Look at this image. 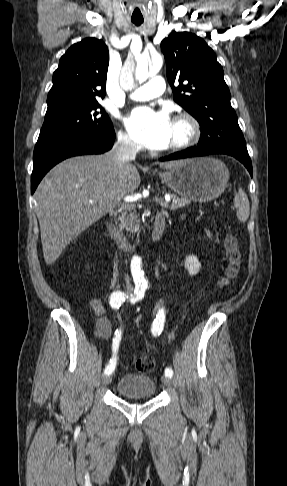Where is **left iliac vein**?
<instances>
[{
  "label": "left iliac vein",
  "mask_w": 287,
  "mask_h": 486,
  "mask_svg": "<svg viewBox=\"0 0 287 486\" xmlns=\"http://www.w3.org/2000/svg\"><path fill=\"white\" fill-rule=\"evenodd\" d=\"M161 380H162V383L164 385H166V386L171 385V378L170 377H168V376L165 375V376H162V379Z\"/></svg>",
  "instance_id": "obj_1"
}]
</instances>
